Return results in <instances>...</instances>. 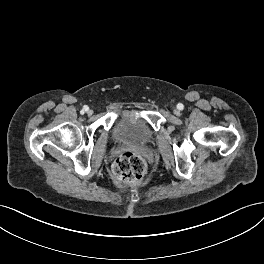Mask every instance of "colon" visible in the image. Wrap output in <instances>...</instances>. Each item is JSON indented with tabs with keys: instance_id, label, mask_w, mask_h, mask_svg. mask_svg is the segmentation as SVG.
Here are the masks:
<instances>
[{
	"instance_id": "5ec220e1",
	"label": "colon",
	"mask_w": 264,
	"mask_h": 264,
	"mask_svg": "<svg viewBox=\"0 0 264 264\" xmlns=\"http://www.w3.org/2000/svg\"><path fill=\"white\" fill-rule=\"evenodd\" d=\"M146 168L144 159L132 152L119 155L112 167L115 178L125 184L139 183L146 173Z\"/></svg>"
}]
</instances>
